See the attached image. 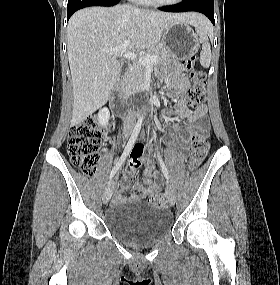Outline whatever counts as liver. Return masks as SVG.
Here are the masks:
<instances>
[{"label":"liver","instance_id":"obj_1","mask_svg":"<svg viewBox=\"0 0 280 285\" xmlns=\"http://www.w3.org/2000/svg\"><path fill=\"white\" fill-rule=\"evenodd\" d=\"M198 25L207 21L196 13H163L129 5L90 7L77 11L67 26V54L73 87L71 125L103 106L120 73L116 56L104 51L130 40L131 51L157 46L173 22Z\"/></svg>","mask_w":280,"mask_h":285}]
</instances>
